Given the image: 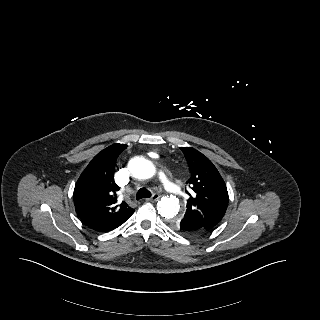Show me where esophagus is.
Instances as JSON below:
<instances>
[{"label":"esophagus","mask_w":320,"mask_h":320,"mask_svg":"<svg viewBox=\"0 0 320 320\" xmlns=\"http://www.w3.org/2000/svg\"><path fill=\"white\" fill-rule=\"evenodd\" d=\"M159 199V195L157 194H154L152 197L150 198H147L146 200L149 201V202H155Z\"/></svg>","instance_id":"obj_1"}]
</instances>
